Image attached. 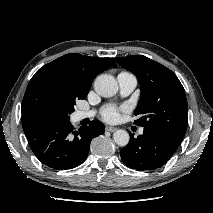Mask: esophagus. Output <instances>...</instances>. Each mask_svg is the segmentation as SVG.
<instances>
[{"label": "esophagus", "instance_id": "34e87169", "mask_svg": "<svg viewBox=\"0 0 213 213\" xmlns=\"http://www.w3.org/2000/svg\"><path fill=\"white\" fill-rule=\"evenodd\" d=\"M116 130H117V128H115V127H111V126L106 127V131H109V132H115Z\"/></svg>", "mask_w": 213, "mask_h": 213}]
</instances>
